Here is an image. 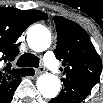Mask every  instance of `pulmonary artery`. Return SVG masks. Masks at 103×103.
<instances>
[{"mask_svg":"<svg viewBox=\"0 0 103 103\" xmlns=\"http://www.w3.org/2000/svg\"><path fill=\"white\" fill-rule=\"evenodd\" d=\"M45 64L53 71L57 72L56 60L52 52H47L44 56Z\"/></svg>","mask_w":103,"mask_h":103,"instance_id":"obj_1","label":"pulmonary artery"}]
</instances>
